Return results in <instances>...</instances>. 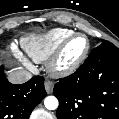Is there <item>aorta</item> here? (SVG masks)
<instances>
[{
    "instance_id": "762f6f07",
    "label": "aorta",
    "mask_w": 119,
    "mask_h": 119,
    "mask_svg": "<svg viewBox=\"0 0 119 119\" xmlns=\"http://www.w3.org/2000/svg\"><path fill=\"white\" fill-rule=\"evenodd\" d=\"M58 104V99L55 96H48L44 99V105L48 110H55Z\"/></svg>"
}]
</instances>
